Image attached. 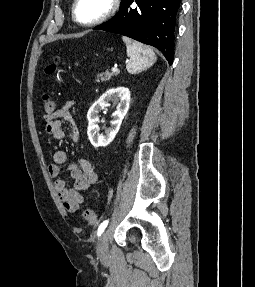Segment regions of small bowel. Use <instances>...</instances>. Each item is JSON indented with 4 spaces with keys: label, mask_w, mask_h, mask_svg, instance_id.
Segmentation results:
<instances>
[{
    "label": "small bowel",
    "mask_w": 255,
    "mask_h": 287,
    "mask_svg": "<svg viewBox=\"0 0 255 287\" xmlns=\"http://www.w3.org/2000/svg\"><path fill=\"white\" fill-rule=\"evenodd\" d=\"M75 104L76 101L74 100L68 101L54 113L44 116L45 130L54 140H62L65 136L62 119L71 123L72 139L74 141L78 140L79 132L71 113ZM67 160V153L63 150H58L54 153L53 163L48 166L47 170L52 178H56L54 188L64 210L68 213H75L84 202L83 193L97 182L98 176L90 161L79 159L76 163L66 166L71 179V184H68L63 177H60Z\"/></svg>",
    "instance_id": "small-bowel-1"
}]
</instances>
